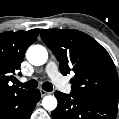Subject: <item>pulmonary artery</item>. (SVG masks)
I'll return each mask as SVG.
<instances>
[{
	"mask_svg": "<svg viewBox=\"0 0 119 119\" xmlns=\"http://www.w3.org/2000/svg\"><path fill=\"white\" fill-rule=\"evenodd\" d=\"M45 73L50 77V79L59 87V89L66 91V85L61 81L62 77L58 72V66L55 61L50 60L46 67Z\"/></svg>",
	"mask_w": 119,
	"mask_h": 119,
	"instance_id": "e3ab8cb5",
	"label": "pulmonary artery"
}]
</instances>
